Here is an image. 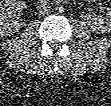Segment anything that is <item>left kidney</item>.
Here are the masks:
<instances>
[{"instance_id":"left-kidney-1","label":"left kidney","mask_w":111,"mask_h":106,"mask_svg":"<svg viewBox=\"0 0 111 106\" xmlns=\"http://www.w3.org/2000/svg\"><path fill=\"white\" fill-rule=\"evenodd\" d=\"M100 12L103 15L95 17L91 23L92 27L100 32L111 31V9L101 8Z\"/></svg>"}]
</instances>
